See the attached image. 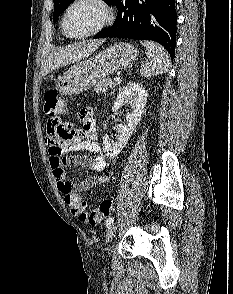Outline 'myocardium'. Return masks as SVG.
<instances>
[{"label": "myocardium", "instance_id": "myocardium-1", "mask_svg": "<svg viewBox=\"0 0 233 294\" xmlns=\"http://www.w3.org/2000/svg\"><path fill=\"white\" fill-rule=\"evenodd\" d=\"M84 2H91V3H95L96 5L100 6L103 11H104V18L102 20V22L95 27L94 29H92L91 31L81 34V35H72L70 33H68L67 29H66V18L69 14V12L78 4L80 3H84ZM115 19V10L113 8V6L107 1V0H73L65 9L62 19H61V29L64 33V35H66L69 38L72 39H85L91 36H95L98 33H100L101 31H103L105 28H107L108 26H110L113 21Z\"/></svg>", "mask_w": 233, "mask_h": 294}]
</instances>
